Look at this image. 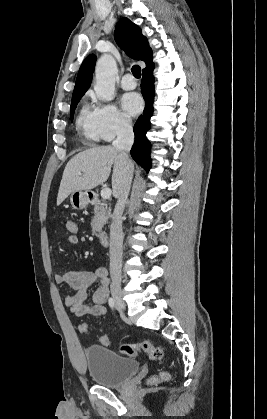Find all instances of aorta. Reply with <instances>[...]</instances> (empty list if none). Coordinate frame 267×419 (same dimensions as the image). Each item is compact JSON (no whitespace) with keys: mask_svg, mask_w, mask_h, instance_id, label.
Returning a JSON list of instances; mask_svg holds the SVG:
<instances>
[{"mask_svg":"<svg viewBox=\"0 0 267 419\" xmlns=\"http://www.w3.org/2000/svg\"><path fill=\"white\" fill-rule=\"evenodd\" d=\"M116 61L110 54H103L95 68V91L104 101H112L115 93Z\"/></svg>","mask_w":267,"mask_h":419,"instance_id":"762f6f07","label":"aorta"}]
</instances>
